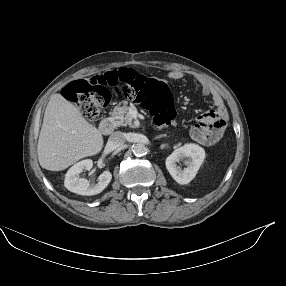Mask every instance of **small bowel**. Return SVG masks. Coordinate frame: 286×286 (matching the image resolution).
<instances>
[{"label":"small bowel","mask_w":286,"mask_h":286,"mask_svg":"<svg viewBox=\"0 0 286 286\" xmlns=\"http://www.w3.org/2000/svg\"><path fill=\"white\" fill-rule=\"evenodd\" d=\"M168 77L172 80H180L184 77V73L181 70L175 69L168 73ZM201 93L203 96L210 97L212 100L213 105L215 106L214 109L210 110L212 113H216L226 124V119L228 117L227 111L224 107V102L219 94V92L209 83L202 82L201 83ZM203 115V114H202ZM157 122V121H156ZM158 124H163L159 123ZM200 142V141H199ZM204 145H214L208 142H201Z\"/></svg>","instance_id":"obj_1"}]
</instances>
